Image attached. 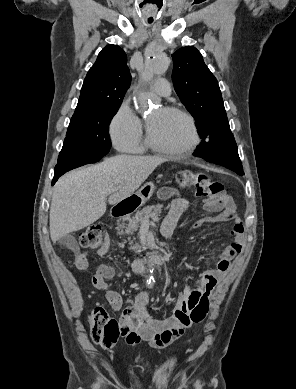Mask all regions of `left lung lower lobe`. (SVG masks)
<instances>
[{
  "instance_id": "left-lung-lower-lobe-1",
  "label": "left lung lower lobe",
  "mask_w": 296,
  "mask_h": 389,
  "mask_svg": "<svg viewBox=\"0 0 296 389\" xmlns=\"http://www.w3.org/2000/svg\"><path fill=\"white\" fill-rule=\"evenodd\" d=\"M194 155L207 162L224 166L239 175H244L237 145L229 122L214 129L206 140H202Z\"/></svg>"
}]
</instances>
